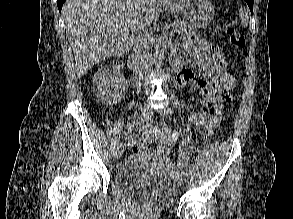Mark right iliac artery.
Listing matches in <instances>:
<instances>
[{"instance_id": "1", "label": "right iliac artery", "mask_w": 293, "mask_h": 219, "mask_svg": "<svg viewBox=\"0 0 293 219\" xmlns=\"http://www.w3.org/2000/svg\"><path fill=\"white\" fill-rule=\"evenodd\" d=\"M151 123H152V119H151V118H149V119L143 121V125H142L141 127H139V129H138L139 132L147 130V128L151 125ZM115 146H116V147H118V146H122V142H120V140H118V141L115 143Z\"/></svg>"}]
</instances>
